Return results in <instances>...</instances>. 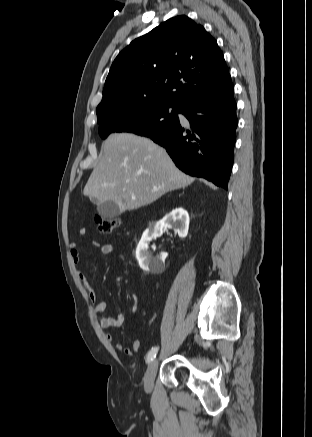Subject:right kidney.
Masks as SVG:
<instances>
[{"label": "right kidney", "mask_w": 312, "mask_h": 437, "mask_svg": "<svg viewBox=\"0 0 312 437\" xmlns=\"http://www.w3.org/2000/svg\"><path fill=\"white\" fill-rule=\"evenodd\" d=\"M163 228H173L180 238H185L189 229L188 212L183 208H177L144 231L137 245L136 258L140 267L145 271L158 272L164 267V256L152 257L148 252L149 242L158 237Z\"/></svg>", "instance_id": "obj_1"}]
</instances>
